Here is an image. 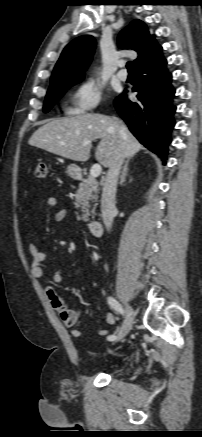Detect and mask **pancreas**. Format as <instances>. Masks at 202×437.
<instances>
[{
    "label": "pancreas",
    "instance_id": "1",
    "mask_svg": "<svg viewBox=\"0 0 202 437\" xmlns=\"http://www.w3.org/2000/svg\"><path fill=\"white\" fill-rule=\"evenodd\" d=\"M98 193L99 184L95 179L91 177L82 179L78 186L74 202L75 208L78 209L76 212L78 220H83L84 222L89 221V208L91 207V204H93L91 213L94 215L97 206L96 202L98 200Z\"/></svg>",
    "mask_w": 202,
    "mask_h": 437
}]
</instances>
